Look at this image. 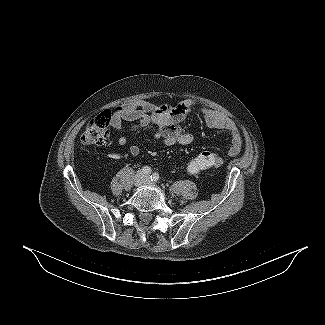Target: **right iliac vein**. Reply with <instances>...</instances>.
Segmentation results:
<instances>
[{
	"label": "right iliac vein",
	"instance_id": "1",
	"mask_svg": "<svg viewBox=\"0 0 325 325\" xmlns=\"http://www.w3.org/2000/svg\"><path fill=\"white\" fill-rule=\"evenodd\" d=\"M145 182V176L142 171H138L135 179H134V185L135 186H141Z\"/></svg>",
	"mask_w": 325,
	"mask_h": 325
}]
</instances>
